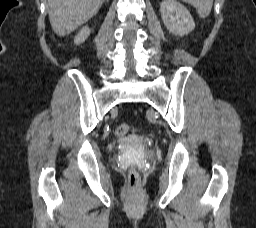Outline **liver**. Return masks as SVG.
Masks as SVG:
<instances>
[{"instance_id": "liver-1", "label": "liver", "mask_w": 256, "mask_h": 228, "mask_svg": "<svg viewBox=\"0 0 256 228\" xmlns=\"http://www.w3.org/2000/svg\"><path fill=\"white\" fill-rule=\"evenodd\" d=\"M105 0H48V15L53 31L65 36L97 14Z\"/></svg>"}]
</instances>
